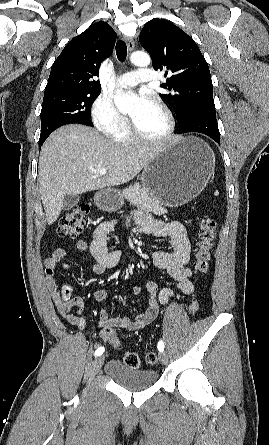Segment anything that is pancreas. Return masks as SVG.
<instances>
[{"label": "pancreas", "instance_id": "cf45deb5", "mask_svg": "<svg viewBox=\"0 0 269 445\" xmlns=\"http://www.w3.org/2000/svg\"><path fill=\"white\" fill-rule=\"evenodd\" d=\"M122 196L134 205L142 210L153 212L156 215H162L167 213V210L160 205V202L153 198L152 194L143 188L139 183L130 185L122 192Z\"/></svg>", "mask_w": 269, "mask_h": 445}]
</instances>
